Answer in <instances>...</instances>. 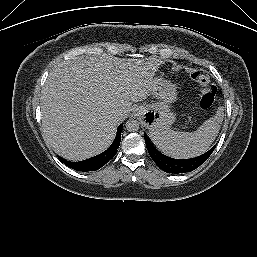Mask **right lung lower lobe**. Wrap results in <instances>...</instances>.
<instances>
[{
    "instance_id": "98d812e1",
    "label": "right lung lower lobe",
    "mask_w": 257,
    "mask_h": 257,
    "mask_svg": "<svg viewBox=\"0 0 257 257\" xmlns=\"http://www.w3.org/2000/svg\"><path fill=\"white\" fill-rule=\"evenodd\" d=\"M123 124H120L117 130V135L113 141V143L110 145V147L102 152L99 155H96L94 157H91L87 160L79 161V162H70L67 160H64L59 157V159L68 167L77 170V171H95L104 166L109 160H111L115 154L117 153V150L119 148V144L121 142V132H122Z\"/></svg>"
}]
</instances>
